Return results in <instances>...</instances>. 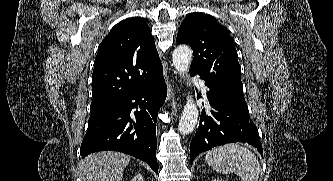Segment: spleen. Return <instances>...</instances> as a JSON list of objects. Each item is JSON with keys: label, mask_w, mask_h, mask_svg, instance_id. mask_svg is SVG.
<instances>
[{"label": "spleen", "mask_w": 333, "mask_h": 181, "mask_svg": "<svg viewBox=\"0 0 333 181\" xmlns=\"http://www.w3.org/2000/svg\"><path fill=\"white\" fill-rule=\"evenodd\" d=\"M207 164L220 173H236L242 181H258L261 167L258 158L240 144L230 143L209 151Z\"/></svg>", "instance_id": "3e777b00"}]
</instances>
